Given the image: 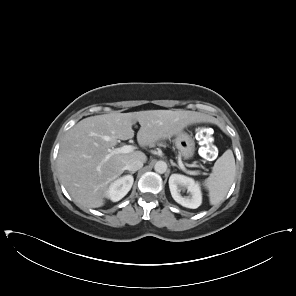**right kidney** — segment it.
Segmentation results:
<instances>
[{"mask_svg": "<svg viewBox=\"0 0 296 296\" xmlns=\"http://www.w3.org/2000/svg\"><path fill=\"white\" fill-rule=\"evenodd\" d=\"M134 178L126 175L114 180L108 187L106 197L113 202L121 200L131 189Z\"/></svg>", "mask_w": 296, "mask_h": 296, "instance_id": "right-kidney-1", "label": "right kidney"}]
</instances>
